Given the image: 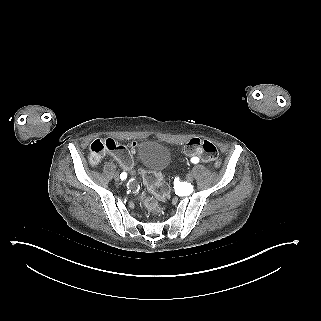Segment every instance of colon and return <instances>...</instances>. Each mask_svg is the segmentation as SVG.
<instances>
[{
    "mask_svg": "<svg viewBox=\"0 0 321 321\" xmlns=\"http://www.w3.org/2000/svg\"><path fill=\"white\" fill-rule=\"evenodd\" d=\"M135 145V144H134ZM185 154L190 157L200 158L212 168H218L221 164L216 146L207 140L192 138L185 146ZM106 153L113 154L121 166L130 174H133L134 161L129 150L114 139H98L90 146L89 161L97 165ZM143 177L148 188L159 198H165L169 194V185L157 172L142 170ZM140 202L143 207L152 213H159L160 208L156 199L141 195Z\"/></svg>",
    "mask_w": 321,
    "mask_h": 321,
    "instance_id": "colon-1",
    "label": "colon"
}]
</instances>
